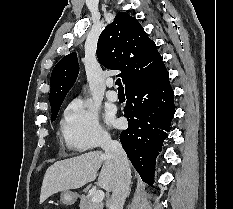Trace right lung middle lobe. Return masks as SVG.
Wrapping results in <instances>:
<instances>
[{
	"label": "right lung middle lobe",
	"instance_id": "dd1d6c3e",
	"mask_svg": "<svg viewBox=\"0 0 233 209\" xmlns=\"http://www.w3.org/2000/svg\"><path fill=\"white\" fill-rule=\"evenodd\" d=\"M60 107L55 109L54 111H52V117H51V121H54L57 114H58V111H59Z\"/></svg>",
	"mask_w": 233,
	"mask_h": 209
}]
</instances>
